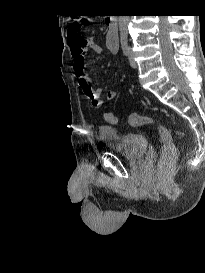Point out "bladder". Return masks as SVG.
<instances>
[{
	"label": "bladder",
	"mask_w": 205,
	"mask_h": 273,
	"mask_svg": "<svg viewBox=\"0 0 205 273\" xmlns=\"http://www.w3.org/2000/svg\"><path fill=\"white\" fill-rule=\"evenodd\" d=\"M99 136L109 150L128 159L141 160L147 154L149 141L142 133H121L114 126L103 125L99 128Z\"/></svg>",
	"instance_id": "31cf9c89"
}]
</instances>
